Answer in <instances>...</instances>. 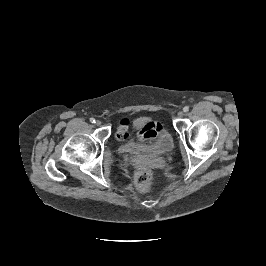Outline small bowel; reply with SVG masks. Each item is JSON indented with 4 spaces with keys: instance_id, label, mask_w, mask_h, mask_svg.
Listing matches in <instances>:
<instances>
[{
    "instance_id": "small-bowel-1",
    "label": "small bowel",
    "mask_w": 266,
    "mask_h": 266,
    "mask_svg": "<svg viewBox=\"0 0 266 266\" xmlns=\"http://www.w3.org/2000/svg\"><path fill=\"white\" fill-rule=\"evenodd\" d=\"M128 126H129L128 120L123 119L120 122L118 131H117V138L119 140L123 141L128 138L129 136ZM160 128H163V126L160 123L149 121L140 129L139 138L143 140L145 144H151L154 142Z\"/></svg>"
}]
</instances>
